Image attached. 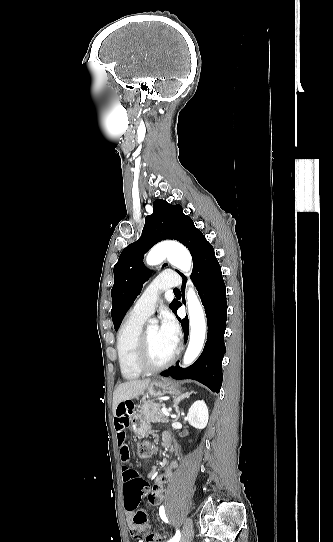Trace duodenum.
<instances>
[{"instance_id":"1","label":"duodenum","mask_w":333,"mask_h":542,"mask_svg":"<svg viewBox=\"0 0 333 542\" xmlns=\"http://www.w3.org/2000/svg\"><path fill=\"white\" fill-rule=\"evenodd\" d=\"M164 441L166 442L167 445H171L173 442V436L171 434H165Z\"/></svg>"}]
</instances>
